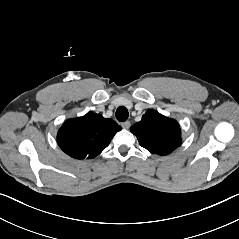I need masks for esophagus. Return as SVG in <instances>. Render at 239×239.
<instances>
[{
  "label": "esophagus",
  "mask_w": 239,
  "mask_h": 239,
  "mask_svg": "<svg viewBox=\"0 0 239 239\" xmlns=\"http://www.w3.org/2000/svg\"><path fill=\"white\" fill-rule=\"evenodd\" d=\"M130 122L129 121H125V122H123L122 124H121V126L124 128V129H129V127H130Z\"/></svg>",
  "instance_id": "1"
}]
</instances>
